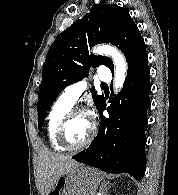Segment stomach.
<instances>
[{
  "mask_svg": "<svg viewBox=\"0 0 178 195\" xmlns=\"http://www.w3.org/2000/svg\"><path fill=\"white\" fill-rule=\"evenodd\" d=\"M103 180V173L95 168L80 165L59 177L51 195H95ZM48 194V195H49Z\"/></svg>",
  "mask_w": 178,
  "mask_h": 195,
  "instance_id": "obj_1",
  "label": "stomach"
}]
</instances>
